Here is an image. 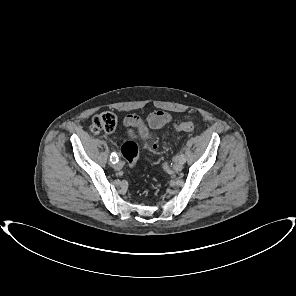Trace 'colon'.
<instances>
[{"mask_svg": "<svg viewBox=\"0 0 296 296\" xmlns=\"http://www.w3.org/2000/svg\"><path fill=\"white\" fill-rule=\"evenodd\" d=\"M117 120L112 113H101L92 119L91 128L93 132L111 133L115 130ZM174 129L180 132H192L196 129V124L192 121H185L174 124ZM121 154L130 167H133L138 159V146L134 141H126L121 147Z\"/></svg>", "mask_w": 296, "mask_h": 296, "instance_id": "1", "label": "colon"}]
</instances>
